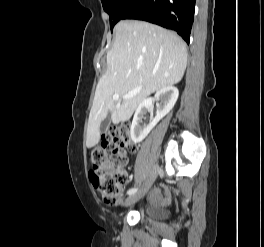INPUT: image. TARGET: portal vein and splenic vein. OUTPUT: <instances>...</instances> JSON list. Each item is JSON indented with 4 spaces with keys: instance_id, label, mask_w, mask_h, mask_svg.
I'll return each mask as SVG.
<instances>
[{
    "instance_id": "1",
    "label": "portal vein and splenic vein",
    "mask_w": 264,
    "mask_h": 247,
    "mask_svg": "<svg viewBox=\"0 0 264 247\" xmlns=\"http://www.w3.org/2000/svg\"><path fill=\"white\" fill-rule=\"evenodd\" d=\"M137 94V91H134V92H131V93H128L126 95L123 96L124 99H129V98H132L133 96H135ZM120 96L119 94H114L113 95V99L114 100H119Z\"/></svg>"
}]
</instances>
